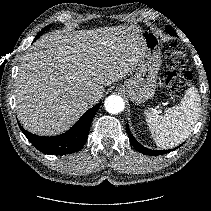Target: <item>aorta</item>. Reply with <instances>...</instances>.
Returning a JSON list of instances; mask_svg holds the SVG:
<instances>
[{
    "label": "aorta",
    "mask_w": 211,
    "mask_h": 211,
    "mask_svg": "<svg viewBox=\"0 0 211 211\" xmlns=\"http://www.w3.org/2000/svg\"><path fill=\"white\" fill-rule=\"evenodd\" d=\"M105 109L111 114H117L124 110L125 103L122 97L118 95H110L104 103Z\"/></svg>",
    "instance_id": "obj_1"
}]
</instances>
